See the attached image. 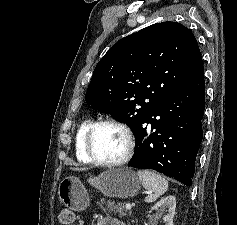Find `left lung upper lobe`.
<instances>
[{
  "instance_id": "5c2ea615",
  "label": "left lung upper lobe",
  "mask_w": 237,
  "mask_h": 225,
  "mask_svg": "<svg viewBox=\"0 0 237 225\" xmlns=\"http://www.w3.org/2000/svg\"><path fill=\"white\" fill-rule=\"evenodd\" d=\"M202 81L193 33L179 23L162 22L108 50L95 67L85 100L134 131L159 101Z\"/></svg>"
}]
</instances>
